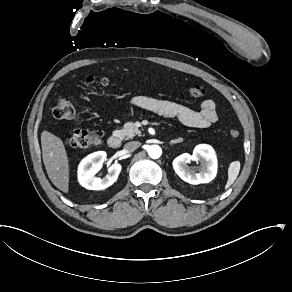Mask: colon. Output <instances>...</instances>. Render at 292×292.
<instances>
[{
  "label": "colon",
  "instance_id": "5ec220e1",
  "mask_svg": "<svg viewBox=\"0 0 292 292\" xmlns=\"http://www.w3.org/2000/svg\"><path fill=\"white\" fill-rule=\"evenodd\" d=\"M96 79L92 75L85 77L84 82L86 84L95 83ZM103 86L108 85V80L103 78L101 80ZM188 93L196 98H202L205 96V88L200 84H191L188 87ZM53 116L58 120H68L72 122H78L79 117L73 103L68 98H60L54 109ZM231 138L236 139L240 136V132L237 128L233 127L229 130ZM101 141V135L96 131H88L81 129H72L66 135V142L68 147L73 149L88 148L98 145Z\"/></svg>",
  "mask_w": 292,
  "mask_h": 292
}]
</instances>
